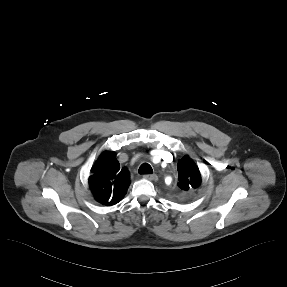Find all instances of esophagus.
Listing matches in <instances>:
<instances>
[{
	"instance_id": "1",
	"label": "esophagus",
	"mask_w": 287,
	"mask_h": 287,
	"mask_svg": "<svg viewBox=\"0 0 287 287\" xmlns=\"http://www.w3.org/2000/svg\"><path fill=\"white\" fill-rule=\"evenodd\" d=\"M144 178L151 180V181H157L158 180V176L156 174H145Z\"/></svg>"
}]
</instances>
